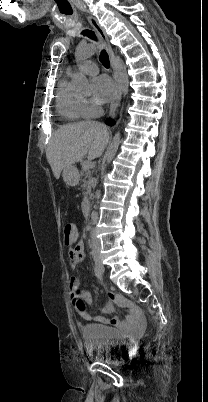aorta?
Here are the masks:
<instances>
[{"label":"aorta","mask_w":208,"mask_h":402,"mask_svg":"<svg viewBox=\"0 0 208 402\" xmlns=\"http://www.w3.org/2000/svg\"><path fill=\"white\" fill-rule=\"evenodd\" d=\"M111 58L114 64L115 78L121 88L122 94H124V96H127L129 88V80L127 76L126 66L124 62H122L121 58H119V56H111ZM120 138H121L120 132H117L105 154V160L107 164H110V162H112L118 150V146L120 144ZM96 194H99V191H96ZM90 221H93V218H90Z\"/></svg>","instance_id":"obj_1"}]
</instances>
